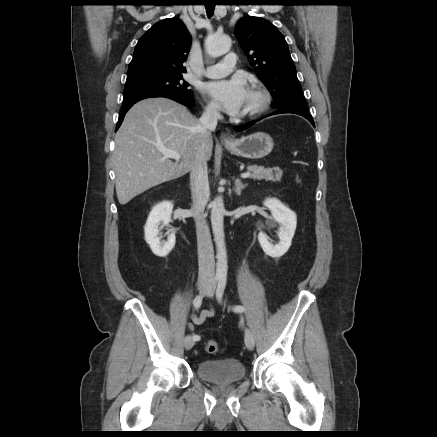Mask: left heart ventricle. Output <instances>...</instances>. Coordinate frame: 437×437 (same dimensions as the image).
<instances>
[{
    "instance_id": "obj_1",
    "label": "left heart ventricle",
    "mask_w": 437,
    "mask_h": 437,
    "mask_svg": "<svg viewBox=\"0 0 437 437\" xmlns=\"http://www.w3.org/2000/svg\"><path fill=\"white\" fill-rule=\"evenodd\" d=\"M258 102V96L253 93L252 91H248L243 108H242V114L245 113L246 111L250 110L251 108H253Z\"/></svg>"
}]
</instances>
